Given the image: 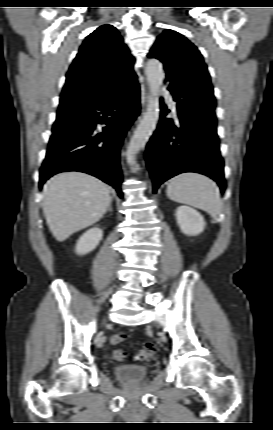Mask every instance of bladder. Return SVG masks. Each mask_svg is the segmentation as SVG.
Masks as SVG:
<instances>
[{
    "label": "bladder",
    "instance_id": "31cf9c89",
    "mask_svg": "<svg viewBox=\"0 0 273 430\" xmlns=\"http://www.w3.org/2000/svg\"><path fill=\"white\" fill-rule=\"evenodd\" d=\"M147 367L135 364H123L114 368V373L118 379L126 383H134L146 377Z\"/></svg>",
    "mask_w": 273,
    "mask_h": 430
}]
</instances>
